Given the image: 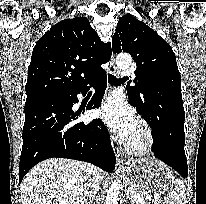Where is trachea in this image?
<instances>
[{"label":"trachea","instance_id":"trachea-1","mask_svg":"<svg viewBox=\"0 0 206 204\" xmlns=\"http://www.w3.org/2000/svg\"><path fill=\"white\" fill-rule=\"evenodd\" d=\"M108 81H109L110 84H114V85L119 84V83L122 82L121 79L116 78V77H115L114 75H112V74H109V75H108Z\"/></svg>","mask_w":206,"mask_h":204}]
</instances>
